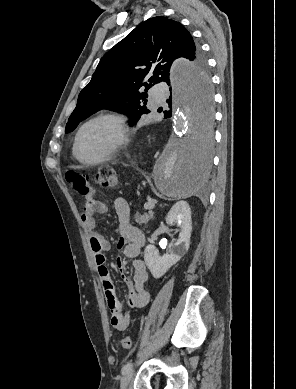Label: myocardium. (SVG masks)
<instances>
[{
  "instance_id": "f54148a6",
  "label": "myocardium",
  "mask_w": 296,
  "mask_h": 389,
  "mask_svg": "<svg viewBox=\"0 0 296 389\" xmlns=\"http://www.w3.org/2000/svg\"><path fill=\"white\" fill-rule=\"evenodd\" d=\"M101 120H109L112 121L118 131V138L114 142V144L99 158L94 159V160H85L81 158L78 154V145L80 141V137L83 133V131L91 124L101 121ZM129 140V133H128V125H127V120L126 118L116 112H105L101 113L99 115H96L89 120H87L77 131L75 139H74V144H73V154L75 158L86 165H96L103 163L107 161L108 159L112 158L116 153H118L128 142Z\"/></svg>"
}]
</instances>
